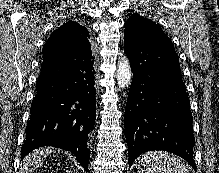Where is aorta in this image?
Listing matches in <instances>:
<instances>
[{
	"instance_id": "obj_1",
	"label": "aorta",
	"mask_w": 219,
	"mask_h": 173,
	"mask_svg": "<svg viewBox=\"0 0 219 173\" xmlns=\"http://www.w3.org/2000/svg\"><path fill=\"white\" fill-rule=\"evenodd\" d=\"M132 71L129 60L123 56L117 64V82L119 88L128 87L131 84Z\"/></svg>"
}]
</instances>
